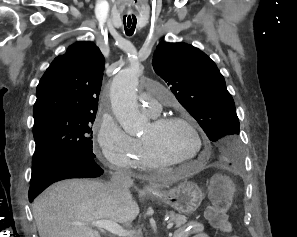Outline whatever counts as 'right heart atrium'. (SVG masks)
I'll use <instances>...</instances> for the list:
<instances>
[{
	"instance_id": "1",
	"label": "right heart atrium",
	"mask_w": 297,
	"mask_h": 237,
	"mask_svg": "<svg viewBox=\"0 0 297 237\" xmlns=\"http://www.w3.org/2000/svg\"><path fill=\"white\" fill-rule=\"evenodd\" d=\"M96 144L102 159L116 169H132L137 158L136 140L109 113H102L96 127Z\"/></svg>"
}]
</instances>
